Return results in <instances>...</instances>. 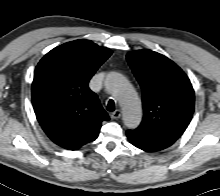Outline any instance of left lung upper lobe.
<instances>
[{"instance_id": "5c2ea615", "label": "left lung upper lobe", "mask_w": 220, "mask_h": 196, "mask_svg": "<svg viewBox=\"0 0 220 196\" xmlns=\"http://www.w3.org/2000/svg\"><path fill=\"white\" fill-rule=\"evenodd\" d=\"M142 88L144 116L129 130L158 150L171 146L183 134L194 112V90L187 75L170 59L151 50L127 54Z\"/></svg>"}]
</instances>
